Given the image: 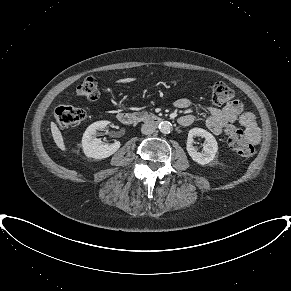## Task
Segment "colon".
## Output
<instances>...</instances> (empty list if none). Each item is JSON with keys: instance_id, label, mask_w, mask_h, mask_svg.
I'll list each match as a JSON object with an SVG mask.
<instances>
[{"instance_id": "1", "label": "colon", "mask_w": 291, "mask_h": 291, "mask_svg": "<svg viewBox=\"0 0 291 291\" xmlns=\"http://www.w3.org/2000/svg\"><path fill=\"white\" fill-rule=\"evenodd\" d=\"M75 93L78 97L90 101L98 99L99 89L97 80L94 77L86 78L77 86ZM233 96V90L225 83L216 82L212 85V101L214 104L223 105L229 102ZM54 115L56 121L61 126L69 127L82 122L86 117V112L78 107L60 105L55 109ZM224 130L230 147L238 156L248 158L254 154V145L246 138L241 129L229 123Z\"/></svg>"}]
</instances>
